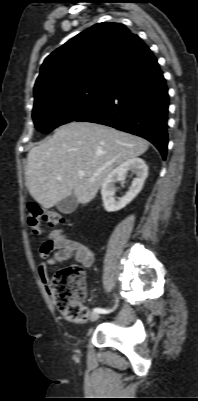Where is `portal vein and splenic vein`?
<instances>
[{"instance_id":"portal-vein-and-splenic-vein-1","label":"portal vein and splenic vein","mask_w":198,"mask_h":401,"mask_svg":"<svg viewBox=\"0 0 198 401\" xmlns=\"http://www.w3.org/2000/svg\"><path fill=\"white\" fill-rule=\"evenodd\" d=\"M78 175H79L80 177H84V176H85V172H84V171H78Z\"/></svg>"}]
</instances>
